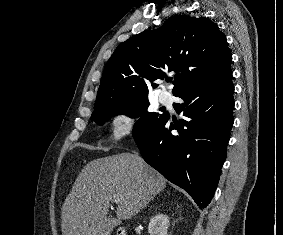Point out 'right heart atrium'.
Masks as SVG:
<instances>
[{
  "label": "right heart atrium",
  "mask_w": 283,
  "mask_h": 235,
  "mask_svg": "<svg viewBox=\"0 0 283 235\" xmlns=\"http://www.w3.org/2000/svg\"><path fill=\"white\" fill-rule=\"evenodd\" d=\"M135 123L134 115L127 110L116 113L111 121L112 137L115 141H119L128 135L133 129Z\"/></svg>",
  "instance_id": "d8ad5b80"
}]
</instances>
